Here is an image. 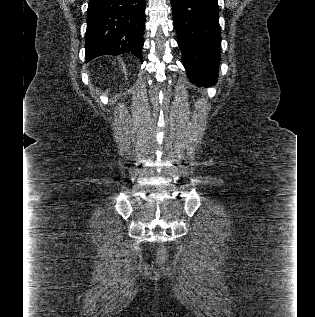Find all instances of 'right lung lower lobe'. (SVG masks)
I'll list each match as a JSON object with an SVG mask.
<instances>
[{
    "instance_id": "right-lung-lower-lobe-1",
    "label": "right lung lower lobe",
    "mask_w": 315,
    "mask_h": 317,
    "mask_svg": "<svg viewBox=\"0 0 315 317\" xmlns=\"http://www.w3.org/2000/svg\"><path fill=\"white\" fill-rule=\"evenodd\" d=\"M146 0H90L85 37L86 62L131 53L142 61Z\"/></svg>"
}]
</instances>
